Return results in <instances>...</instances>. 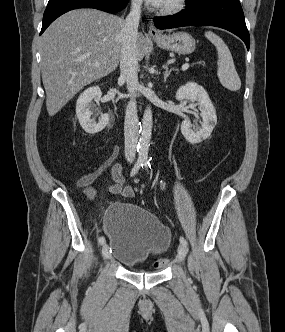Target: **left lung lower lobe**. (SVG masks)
I'll return each mask as SVG.
<instances>
[{
	"label": "left lung lower lobe",
	"instance_id": "left-lung-lower-lobe-1",
	"mask_svg": "<svg viewBox=\"0 0 285 332\" xmlns=\"http://www.w3.org/2000/svg\"><path fill=\"white\" fill-rule=\"evenodd\" d=\"M154 24L159 29L182 26L220 27L240 37L249 50L250 36L239 0H200L186 4V9L177 15L155 18Z\"/></svg>",
	"mask_w": 285,
	"mask_h": 332
}]
</instances>
